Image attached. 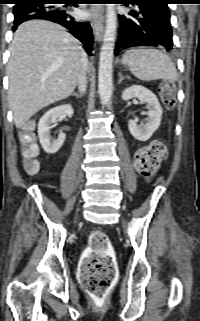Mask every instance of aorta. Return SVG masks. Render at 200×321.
<instances>
[{
  "label": "aorta",
  "mask_w": 200,
  "mask_h": 321,
  "mask_svg": "<svg viewBox=\"0 0 200 321\" xmlns=\"http://www.w3.org/2000/svg\"><path fill=\"white\" fill-rule=\"evenodd\" d=\"M117 28V16L114 4H108L106 10V27L100 51L98 90L103 106L107 105L112 95V71L114 46Z\"/></svg>",
  "instance_id": "762f6f07"
}]
</instances>
